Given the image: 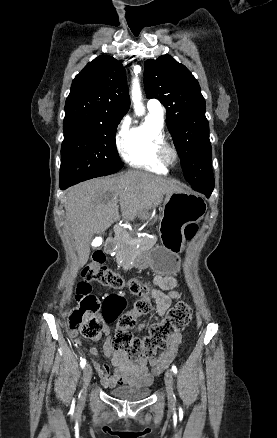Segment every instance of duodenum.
Wrapping results in <instances>:
<instances>
[{
    "label": "duodenum",
    "instance_id": "obj_1",
    "mask_svg": "<svg viewBox=\"0 0 277 438\" xmlns=\"http://www.w3.org/2000/svg\"><path fill=\"white\" fill-rule=\"evenodd\" d=\"M104 249L107 253H112L115 249V242L113 239L108 238L105 240Z\"/></svg>",
    "mask_w": 277,
    "mask_h": 438
}]
</instances>
